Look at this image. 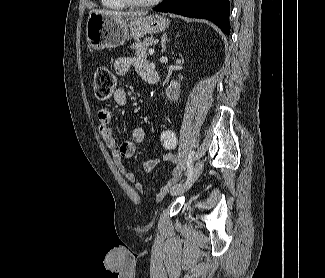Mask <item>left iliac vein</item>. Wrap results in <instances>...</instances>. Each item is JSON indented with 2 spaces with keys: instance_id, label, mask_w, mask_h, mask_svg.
<instances>
[{
  "instance_id": "4c4485c4",
  "label": "left iliac vein",
  "mask_w": 325,
  "mask_h": 278,
  "mask_svg": "<svg viewBox=\"0 0 325 278\" xmlns=\"http://www.w3.org/2000/svg\"><path fill=\"white\" fill-rule=\"evenodd\" d=\"M202 166H203L202 162L198 161L194 167V171L192 173L190 180L186 183H180V184L174 186L170 190V194L172 196H177V195H180V194L184 193L185 191H187L193 185V183L198 179V177L202 171Z\"/></svg>"
}]
</instances>
